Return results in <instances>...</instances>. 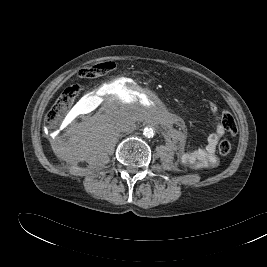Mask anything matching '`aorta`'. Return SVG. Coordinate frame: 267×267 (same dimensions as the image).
<instances>
[{
  "label": "aorta",
  "instance_id": "aorta-1",
  "mask_svg": "<svg viewBox=\"0 0 267 267\" xmlns=\"http://www.w3.org/2000/svg\"><path fill=\"white\" fill-rule=\"evenodd\" d=\"M143 134L145 137L147 138H152L154 136V130L152 128H148L146 127L144 130H143Z\"/></svg>",
  "mask_w": 267,
  "mask_h": 267
}]
</instances>
